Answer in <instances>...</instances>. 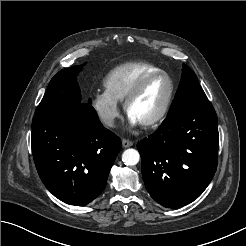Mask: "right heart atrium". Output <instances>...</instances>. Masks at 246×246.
<instances>
[{"instance_id":"d8ad5b80","label":"right heart atrium","mask_w":246,"mask_h":246,"mask_svg":"<svg viewBox=\"0 0 246 246\" xmlns=\"http://www.w3.org/2000/svg\"><path fill=\"white\" fill-rule=\"evenodd\" d=\"M91 106L103 125L108 128L115 126L120 108L118 102L106 91H97L91 99Z\"/></svg>"}]
</instances>
